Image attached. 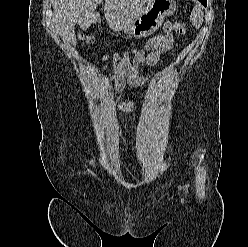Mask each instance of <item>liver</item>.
<instances>
[{
	"instance_id": "obj_1",
	"label": "liver",
	"mask_w": 248,
	"mask_h": 247,
	"mask_svg": "<svg viewBox=\"0 0 248 247\" xmlns=\"http://www.w3.org/2000/svg\"><path fill=\"white\" fill-rule=\"evenodd\" d=\"M148 0H105V18L113 30H122L138 15ZM54 21L60 36L74 45L75 24L85 30L92 23L101 22L100 13L96 12L102 0H52Z\"/></svg>"
}]
</instances>
